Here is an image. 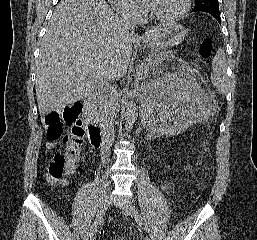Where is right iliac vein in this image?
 I'll return each instance as SVG.
<instances>
[{"label": "right iliac vein", "instance_id": "1", "mask_svg": "<svg viewBox=\"0 0 257 240\" xmlns=\"http://www.w3.org/2000/svg\"><path fill=\"white\" fill-rule=\"evenodd\" d=\"M109 205H110V199H109L107 193H104V196L99 205L97 219L90 226V228L85 232V234L82 237V240H92L93 235L95 233L96 226L100 222V220L103 217V215L105 214V212L108 210Z\"/></svg>", "mask_w": 257, "mask_h": 240}]
</instances>
